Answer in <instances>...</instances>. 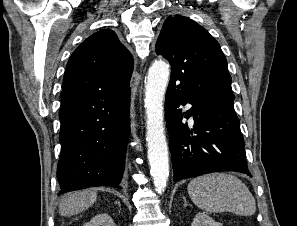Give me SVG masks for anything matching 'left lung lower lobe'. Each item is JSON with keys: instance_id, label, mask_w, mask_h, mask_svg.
I'll return each mask as SVG.
<instances>
[{"instance_id": "left-lung-lower-lobe-1", "label": "left lung lower lobe", "mask_w": 297, "mask_h": 226, "mask_svg": "<svg viewBox=\"0 0 297 226\" xmlns=\"http://www.w3.org/2000/svg\"><path fill=\"white\" fill-rule=\"evenodd\" d=\"M192 108L181 114V105ZM234 98L192 92L170 80L165 117L170 139L174 181L218 171H237L252 177ZM193 116L190 130L182 116Z\"/></svg>"}]
</instances>
